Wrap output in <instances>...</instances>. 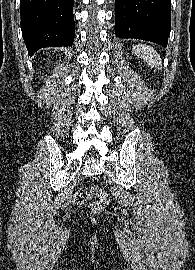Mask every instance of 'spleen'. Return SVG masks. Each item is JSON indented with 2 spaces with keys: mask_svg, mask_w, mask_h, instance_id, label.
Segmentation results:
<instances>
[{
  "mask_svg": "<svg viewBox=\"0 0 195 270\" xmlns=\"http://www.w3.org/2000/svg\"><path fill=\"white\" fill-rule=\"evenodd\" d=\"M133 52L150 66L161 69L162 63L160 56L152 47L138 44L133 47Z\"/></svg>",
  "mask_w": 195,
  "mask_h": 270,
  "instance_id": "spleen-1",
  "label": "spleen"
}]
</instances>
